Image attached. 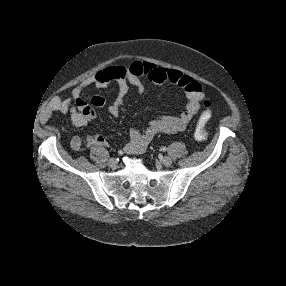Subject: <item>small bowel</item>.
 Listing matches in <instances>:
<instances>
[{
	"label": "small bowel",
	"instance_id": "c3829d8e",
	"mask_svg": "<svg viewBox=\"0 0 286 286\" xmlns=\"http://www.w3.org/2000/svg\"><path fill=\"white\" fill-rule=\"evenodd\" d=\"M143 77L155 84L170 83L182 88L186 94V105L179 115H162L150 121L143 130H130L129 141L125 145L124 151L128 154L142 153L156 135L184 130L200 112V101L204 93L199 82L179 70L157 68L154 64L147 62L136 61L128 66H110L87 77L72 89L69 98L54 99L50 104L49 115L69 113L73 126L87 125L97 117L96 108L103 107L105 100L103 97L95 95L91 98L90 104H87L81 98L82 90L89 85L101 89L114 82L118 86V93L109 104L108 112L111 116L117 117L121 111L123 100L129 92V86H135L140 92L144 90ZM106 145L107 140L99 133L85 137H69V146L75 152H81L84 147Z\"/></svg>",
	"mask_w": 286,
	"mask_h": 286
}]
</instances>
